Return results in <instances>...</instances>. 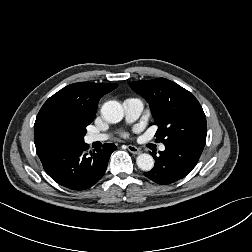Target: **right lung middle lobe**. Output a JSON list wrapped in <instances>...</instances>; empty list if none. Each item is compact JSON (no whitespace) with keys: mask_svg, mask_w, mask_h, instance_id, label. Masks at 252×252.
<instances>
[{"mask_svg":"<svg viewBox=\"0 0 252 252\" xmlns=\"http://www.w3.org/2000/svg\"><path fill=\"white\" fill-rule=\"evenodd\" d=\"M86 126L87 124L73 123L61 117L49 118L34 131L35 146L83 142Z\"/></svg>","mask_w":252,"mask_h":252,"instance_id":"right-lung-middle-lobe-1","label":"right lung middle lobe"}]
</instances>
